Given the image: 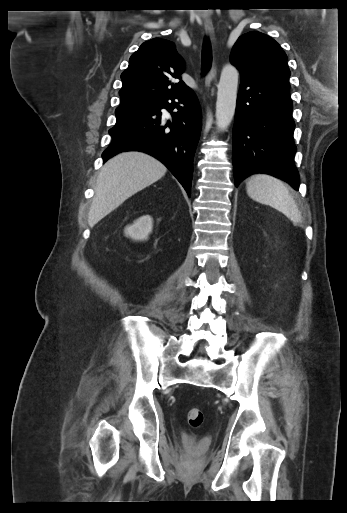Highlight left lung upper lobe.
Returning <instances> with one entry per match:
<instances>
[{
  "instance_id": "5c2ea615",
  "label": "left lung upper lobe",
  "mask_w": 347,
  "mask_h": 513,
  "mask_svg": "<svg viewBox=\"0 0 347 513\" xmlns=\"http://www.w3.org/2000/svg\"><path fill=\"white\" fill-rule=\"evenodd\" d=\"M230 62L241 72V77L288 80L290 76L287 56L280 45L258 31L238 38L232 49Z\"/></svg>"
}]
</instances>
